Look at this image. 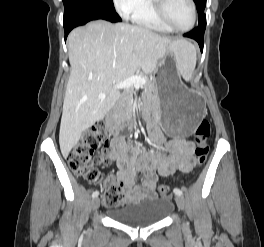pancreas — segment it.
I'll return each instance as SVG.
<instances>
[{"instance_id":"cf45deb5","label":"pancreas","mask_w":264,"mask_h":247,"mask_svg":"<svg viewBox=\"0 0 264 247\" xmlns=\"http://www.w3.org/2000/svg\"><path fill=\"white\" fill-rule=\"evenodd\" d=\"M140 76L146 79V83L143 85L146 94L152 102H156L158 91L155 81L148 79L144 74H140ZM134 108L133 88L131 87L121 94L117 102L115 109L116 119L120 122H124L130 119L133 114Z\"/></svg>"}]
</instances>
